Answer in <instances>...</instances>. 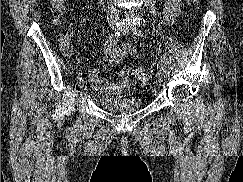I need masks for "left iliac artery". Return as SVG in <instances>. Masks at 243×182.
Here are the masks:
<instances>
[{"instance_id": "left-iliac-artery-1", "label": "left iliac artery", "mask_w": 243, "mask_h": 182, "mask_svg": "<svg viewBox=\"0 0 243 182\" xmlns=\"http://www.w3.org/2000/svg\"><path fill=\"white\" fill-rule=\"evenodd\" d=\"M133 35L135 37H144V34L142 33V31L138 30L137 28H133ZM157 69H158V73H161V68L160 66L157 65Z\"/></svg>"}]
</instances>
